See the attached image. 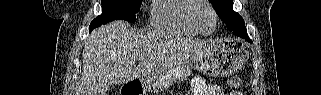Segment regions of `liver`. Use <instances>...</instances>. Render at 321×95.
Returning <instances> with one entry per match:
<instances>
[{
    "mask_svg": "<svg viewBox=\"0 0 321 95\" xmlns=\"http://www.w3.org/2000/svg\"><path fill=\"white\" fill-rule=\"evenodd\" d=\"M167 38L163 32L135 33L120 20L94 30L83 49L82 75L75 95H106L113 84L150 79L208 42L180 38L175 48Z\"/></svg>",
    "mask_w": 321,
    "mask_h": 95,
    "instance_id": "6515ba94",
    "label": "liver"
}]
</instances>
